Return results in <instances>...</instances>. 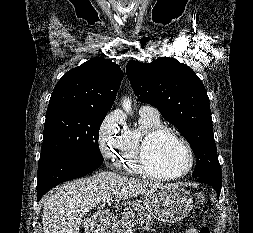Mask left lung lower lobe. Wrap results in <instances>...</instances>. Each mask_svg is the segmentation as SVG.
<instances>
[{"label": "left lung lower lobe", "mask_w": 253, "mask_h": 233, "mask_svg": "<svg viewBox=\"0 0 253 233\" xmlns=\"http://www.w3.org/2000/svg\"><path fill=\"white\" fill-rule=\"evenodd\" d=\"M197 181L211 185L216 190L217 197H219L220 191H221L222 179H214L211 177H198Z\"/></svg>", "instance_id": "0a47b994"}]
</instances>
